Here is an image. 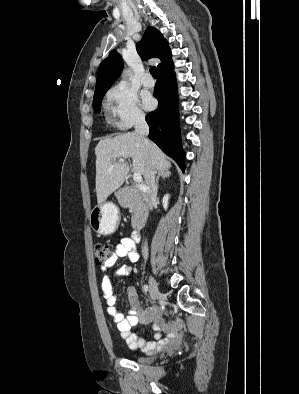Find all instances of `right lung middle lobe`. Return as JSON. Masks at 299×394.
I'll return each instance as SVG.
<instances>
[{
    "label": "right lung middle lobe",
    "instance_id": "obj_1",
    "mask_svg": "<svg viewBox=\"0 0 299 394\" xmlns=\"http://www.w3.org/2000/svg\"><path fill=\"white\" fill-rule=\"evenodd\" d=\"M106 91H107V90L102 91V92H99V93H97V94L94 95V98H93V107H94V110H95L96 112H99L100 109H101V101H102V98H103L104 94L106 93Z\"/></svg>",
    "mask_w": 299,
    "mask_h": 394
}]
</instances>
